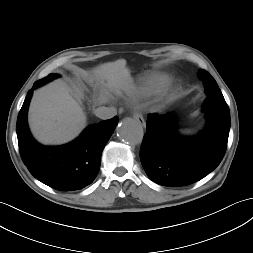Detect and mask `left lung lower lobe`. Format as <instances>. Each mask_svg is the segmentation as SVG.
I'll return each mask as SVG.
<instances>
[{
    "mask_svg": "<svg viewBox=\"0 0 253 253\" xmlns=\"http://www.w3.org/2000/svg\"><path fill=\"white\" fill-rule=\"evenodd\" d=\"M207 126L194 137H181L170 117L149 114L140 159L149 178L168 187L204 178L221 162L227 147L230 112L224 97L208 96Z\"/></svg>",
    "mask_w": 253,
    "mask_h": 253,
    "instance_id": "obj_1",
    "label": "left lung lower lobe"
}]
</instances>
